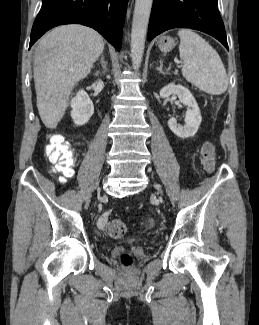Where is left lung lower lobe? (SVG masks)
Wrapping results in <instances>:
<instances>
[{"instance_id": "1", "label": "left lung lower lobe", "mask_w": 259, "mask_h": 325, "mask_svg": "<svg viewBox=\"0 0 259 325\" xmlns=\"http://www.w3.org/2000/svg\"><path fill=\"white\" fill-rule=\"evenodd\" d=\"M217 3L218 0H153L148 40L168 29L191 28L215 37L228 49Z\"/></svg>"}]
</instances>
